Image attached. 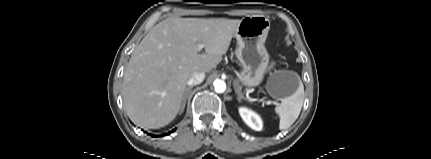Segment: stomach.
<instances>
[{
    "label": "stomach",
    "instance_id": "1",
    "mask_svg": "<svg viewBox=\"0 0 431 159\" xmlns=\"http://www.w3.org/2000/svg\"><path fill=\"white\" fill-rule=\"evenodd\" d=\"M270 21L263 15H252L241 19L234 37L237 40L236 57L242 65L239 81L247 87L261 84L269 63L265 41ZM300 86V78L292 71H276L270 74L267 91L275 99L292 96Z\"/></svg>",
    "mask_w": 431,
    "mask_h": 159
}]
</instances>
